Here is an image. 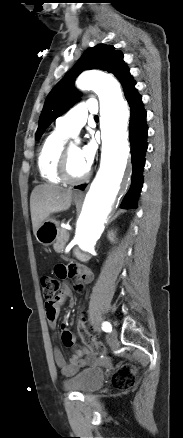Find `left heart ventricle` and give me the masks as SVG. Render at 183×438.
<instances>
[{"label": "left heart ventricle", "mask_w": 183, "mask_h": 438, "mask_svg": "<svg viewBox=\"0 0 183 438\" xmlns=\"http://www.w3.org/2000/svg\"><path fill=\"white\" fill-rule=\"evenodd\" d=\"M88 167L83 161L81 150L78 146H70L68 154V173L71 178L77 179L82 177Z\"/></svg>", "instance_id": "left-heart-ventricle-1"}]
</instances>
